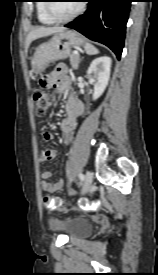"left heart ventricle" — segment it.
I'll list each match as a JSON object with an SVG mask.
<instances>
[{
	"label": "left heart ventricle",
	"instance_id": "b2bd125f",
	"mask_svg": "<svg viewBox=\"0 0 158 275\" xmlns=\"http://www.w3.org/2000/svg\"><path fill=\"white\" fill-rule=\"evenodd\" d=\"M80 1H57L53 4L55 13L60 17L71 15L80 5Z\"/></svg>",
	"mask_w": 158,
	"mask_h": 275
}]
</instances>
